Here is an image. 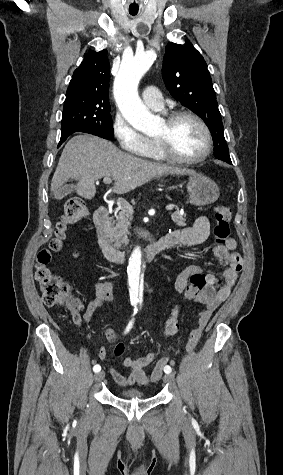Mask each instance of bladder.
<instances>
[{
  "instance_id": "bladder-1",
  "label": "bladder",
  "mask_w": 283,
  "mask_h": 475,
  "mask_svg": "<svg viewBox=\"0 0 283 475\" xmlns=\"http://www.w3.org/2000/svg\"><path fill=\"white\" fill-rule=\"evenodd\" d=\"M149 395L138 388L121 390L119 398L127 400H147Z\"/></svg>"
}]
</instances>
